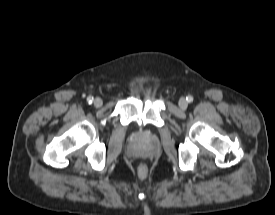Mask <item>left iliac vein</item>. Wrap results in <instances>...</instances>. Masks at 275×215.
Masks as SVG:
<instances>
[{
    "instance_id": "4c4485c4",
    "label": "left iliac vein",
    "mask_w": 275,
    "mask_h": 215,
    "mask_svg": "<svg viewBox=\"0 0 275 215\" xmlns=\"http://www.w3.org/2000/svg\"><path fill=\"white\" fill-rule=\"evenodd\" d=\"M187 106H188V103H187V101L185 100V98H181V99L179 100V107H180L181 109L185 110V109L187 108Z\"/></svg>"
}]
</instances>
